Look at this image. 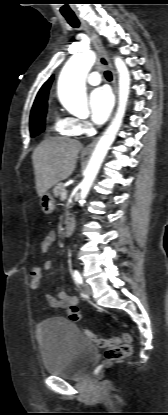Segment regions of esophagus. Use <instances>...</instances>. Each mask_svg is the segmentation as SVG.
<instances>
[{"label":"esophagus","mask_w":168,"mask_h":415,"mask_svg":"<svg viewBox=\"0 0 168 415\" xmlns=\"http://www.w3.org/2000/svg\"><path fill=\"white\" fill-rule=\"evenodd\" d=\"M79 21L81 22V25L83 27V29L87 32V34L89 35V37L91 38L98 54H99V61L102 65L104 66H108L109 69L112 72V77H113V91L115 94V101L117 102V73L107 55V52L100 40V38L98 37V35L95 33V31L89 26V24L81 17L78 16ZM99 137H96L91 143H89L84 150L85 151H92L95 144L97 143Z\"/></svg>","instance_id":"1"}]
</instances>
